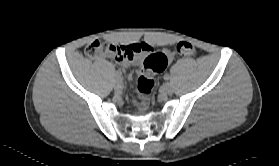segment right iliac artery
Returning a JSON list of instances; mask_svg holds the SVG:
<instances>
[{"mask_svg":"<svg viewBox=\"0 0 279 166\" xmlns=\"http://www.w3.org/2000/svg\"><path fill=\"white\" fill-rule=\"evenodd\" d=\"M116 77H117L118 79H121L122 73H121L120 71H117V72H116Z\"/></svg>","mask_w":279,"mask_h":166,"instance_id":"82829eb1","label":"right iliac artery"}]
</instances>
